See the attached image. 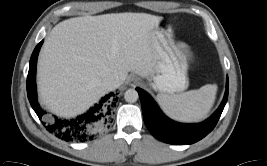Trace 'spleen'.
<instances>
[{
    "mask_svg": "<svg viewBox=\"0 0 267 166\" xmlns=\"http://www.w3.org/2000/svg\"><path fill=\"white\" fill-rule=\"evenodd\" d=\"M216 92L217 85L208 84L179 95L160 94L158 101L170 117L195 122L206 117L214 104Z\"/></svg>",
    "mask_w": 267,
    "mask_h": 166,
    "instance_id": "3e777b00",
    "label": "spleen"
}]
</instances>
